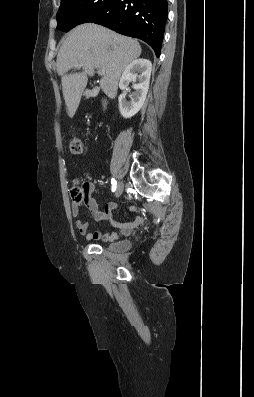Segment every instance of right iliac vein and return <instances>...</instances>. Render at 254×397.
Instances as JSON below:
<instances>
[{"mask_svg":"<svg viewBox=\"0 0 254 397\" xmlns=\"http://www.w3.org/2000/svg\"><path fill=\"white\" fill-rule=\"evenodd\" d=\"M123 189H124L123 182H119L117 187H116V192H115L116 197L121 196V194L123 193Z\"/></svg>","mask_w":254,"mask_h":397,"instance_id":"right-iliac-vein-1","label":"right iliac vein"}]
</instances>
